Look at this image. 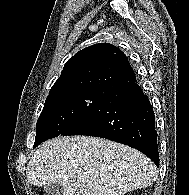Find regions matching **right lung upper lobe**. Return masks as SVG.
Masks as SVG:
<instances>
[{
    "instance_id": "right-lung-upper-lobe-1",
    "label": "right lung upper lobe",
    "mask_w": 189,
    "mask_h": 195,
    "mask_svg": "<svg viewBox=\"0 0 189 195\" xmlns=\"http://www.w3.org/2000/svg\"><path fill=\"white\" fill-rule=\"evenodd\" d=\"M136 81L127 57L109 43L84 48L71 57L49 94L72 89L113 92Z\"/></svg>"
}]
</instances>
